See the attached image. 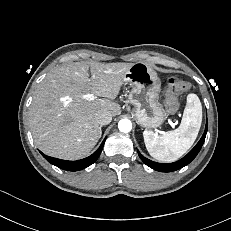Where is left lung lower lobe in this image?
Instances as JSON below:
<instances>
[{"mask_svg": "<svg viewBox=\"0 0 231 231\" xmlns=\"http://www.w3.org/2000/svg\"><path fill=\"white\" fill-rule=\"evenodd\" d=\"M207 134V124L205 127V131L200 139V141L197 143V145L182 159L173 162V163H169V164H162V163H157V162H153L147 158H145L143 155L140 154V152L138 151L139 157L141 158V160L150 168L156 170V171H160V172H172V171H176L178 169H181L182 167L186 166L187 164H189L195 157L196 155L199 153L204 141H205V137Z\"/></svg>", "mask_w": 231, "mask_h": 231, "instance_id": "obj_1", "label": "left lung lower lobe"}]
</instances>
